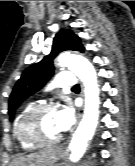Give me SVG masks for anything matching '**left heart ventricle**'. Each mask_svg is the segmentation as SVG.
<instances>
[{
    "label": "left heart ventricle",
    "instance_id": "1",
    "mask_svg": "<svg viewBox=\"0 0 135 166\" xmlns=\"http://www.w3.org/2000/svg\"><path fill=\"white\" fill-rule=\"evenodd\" d=\"M32 133L43 139H53L61 134L57 125V110L46 111L36 116L30 123Z\"/></svg>",
    "mask_w": 135,
    "mask_h": 166
}]
</instances>
